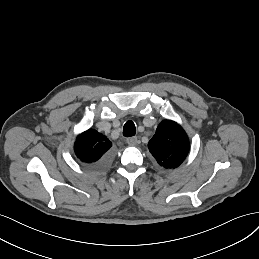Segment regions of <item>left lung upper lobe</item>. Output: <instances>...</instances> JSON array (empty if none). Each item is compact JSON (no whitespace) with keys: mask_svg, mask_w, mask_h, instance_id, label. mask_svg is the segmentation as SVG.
Segmentation results:
<instances>
[{"mask_svg":"<svg viewBox=\"0 0 259 259\" xmlns=\"http://www.w3.org/2000/svg\"><path fill=\"white\" fill-rule=\"evenodd\" d=\"M150 153L166 169L177 168L189 152V139L183 128L174 121L163 120L148 142Z\"/></svg>","mask_w":259,"mask_h":259,"instance_id":"5c2ea615","label":"left lung upper lobe"}]
</instances>
